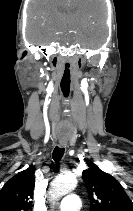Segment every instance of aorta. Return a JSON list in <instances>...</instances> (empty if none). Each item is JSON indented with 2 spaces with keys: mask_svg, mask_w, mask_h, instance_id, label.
<instances>
[{
  "mask_svg": "<svg viewBox=\"0 0 133 211\" xmlns=\"http://www.w3.org/2000/svg\"><path fill=\"white\" fill-rule=\"evenodd\" d=\"M77 187V180L73 176H59L54 179L50 187V199L53 204L61 197Z\"/></svg>",
  "mask_w": 133,
  "mask_h": 211,
  "instance_id": "1",
  "label": "aorta"
}]
</instances>
